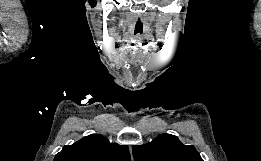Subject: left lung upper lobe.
I'll list each match as a JSON object with an SVG mask.
<instances>
[{
	"instance_id": "5c2ea615",
	"label": "left lung upper lobe",
	"mask_w": 261,
	"mask_h": 161,
	"mask_svg": "<svg viewBox=\"0 0 261 161\" xmlns=\"http://www.w3.org/2000/svg\"><path fill=\"white\" fill-rule=\"evenodd\" d=\"M133 156L135 161H203L192 145H184L170 134H161L147 144L133 145Z\"/></svg>"
}]
</instances>
